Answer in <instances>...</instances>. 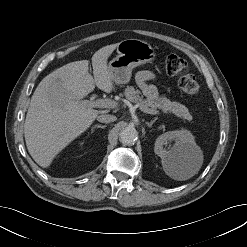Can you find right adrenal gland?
Masks as SVG:
<instances>
[{"label": "right adrenal gland", "mask_w": 247, "mask_h": 247, "mask_svg": "<svg viewBox=\"0 0 247 247\" xmlns=\"http://www.w3.org/2000/svg\"><path fill=\"white\" fill-rule=\"evenodd\" d=\"M105 127H106V125L96 124V125H94L93 129H96V128H102V129H104Z\"/></svg>", "instance_id": "right-adrenal-gland-1"}]
</instances>
